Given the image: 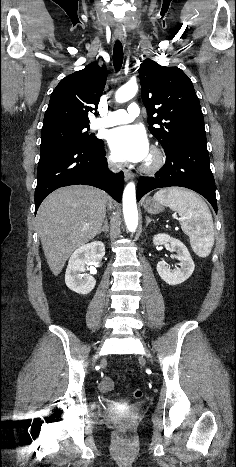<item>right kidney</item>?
<instances>
[{
  "label": "right kidney",
  "instance_id": "obj_1",
  "mask_svg": "<svg viewBox=\"0 0 236 467\" xmlns=\"http://www.w3.org/2000/svg\"><path fill=\"white\" fill-rule=\"evenodd\" d=\"M105 255V246L101 241H94L79 247L71 255L65 273V283L69 289L79 294L90 293L96 284L91 274H83L92 262L101 261Z\"/></svg>",
  "mask_w": 236,
  "mask_h": 467
}]
</instances>
